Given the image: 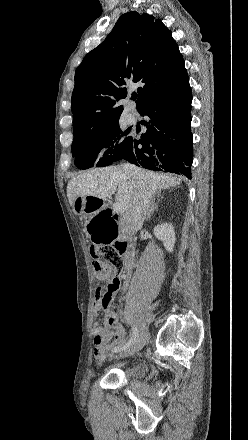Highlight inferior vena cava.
<instances>
[{
    "label": "inferior vena cava",
    "mask_w": 248,
    "mask_h": 440,
    "mask_svg": "<svg viewBox=\"0 0 248 440\" xmlns=\"http://www.w3.org/2000/svg\"><path fill=\"white\" fill-rule=\"evenodd\" d=\"M122 167L124 172L136 181L137 184L132 202L122 217L123 228L129 234H133L141 229L143 225L151 204V193L143 180V175L139 168L129 163L122 165Z\"/></svg>",
    "instance_id": "obj_1"
}]
</instances>
